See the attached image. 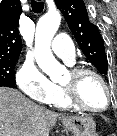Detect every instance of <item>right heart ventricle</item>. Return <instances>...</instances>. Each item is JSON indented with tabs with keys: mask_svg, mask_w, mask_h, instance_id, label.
<instances>
[{
	"mask_svg": "<svg viewBox=\"0 0 117 136\" xmlns=\"http://www.w3.org/2000/svg\"><path fill=\"white\" fill-rule=\"evenodd\" d=\"M51 103L60 108H72L66 100L62 89L58 86Z\"/></svg>",
	"mask_w": 117,
	"mask_h": 136,
	"instance_id": "1",
	"label": "right heart ventricle"
}]
</instances>
